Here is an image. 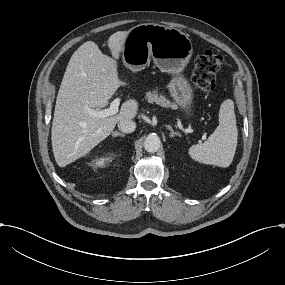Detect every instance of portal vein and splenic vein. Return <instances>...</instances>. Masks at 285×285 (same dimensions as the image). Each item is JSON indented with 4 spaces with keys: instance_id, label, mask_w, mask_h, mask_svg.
Instances as JSON below:
<instances>
[{
    "instance_id": "obj_1",
    "label": "portal vein and splenic vein",
    "mask_w": 285,
    "mask_h": 285,
    "mask_svg": "<svg viewBox=\"0 0 285 285\" xmlns=\"http://www.w3.org/2000/svg\"><path fill=\"white\" fill-rule=\"evenodd\" d=\"M121 96H117L110 104V108L108 109H104L102 111H96L94 109L91 108H86V111L89 115L94 116V117H108L111 115H114L118 112V107L120 105L121 102Z\"/></svg>"
}]
</instances>
